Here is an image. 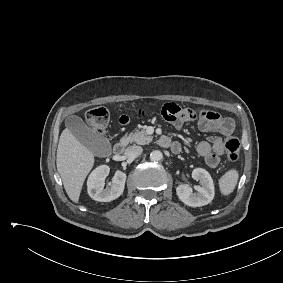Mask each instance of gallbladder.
Listing matches in <instances>:
<instances>
[{
	"mask_svg": "<svg viewBox=\"0 0 283 283\" xmlns=\"http://www.w3.org/2000/svg\"><path fill=\"white\" fill-rule=\"evenodd\" d=\"M66 125L77 140L94 155L104 157L111 154V144L108 139L88 127L80 117L68 118Z\"/></svg>",
	"mask_w": 283,
	"mask_h": 283,
	"instance_id": "bac80fb5",
	"label": "gallbladder"
}]
</instances>
